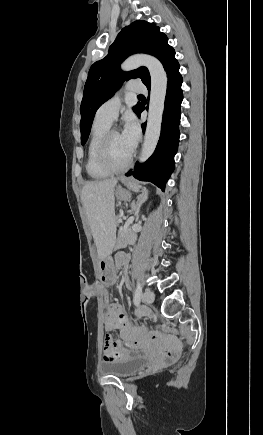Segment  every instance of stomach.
<instances>
[{
	"mask_svg": "<svg viewBox=\"0 0 263 435\" xmlns=\"http://www.w3.org/2000/svg\"><path fill=\"white\" fill-rule=\"evenodd\" d=\"M121 181L127 189H133L134 191H138L140 189V186L133 184L130 179L122 178ZM126 188H123L122 186L117 187L115 195L118 200H126L130 196L129 191ZM99 268L101 271L100 279L101 282H103L104 288H111L113 296H116V293L118 292L117 281L119 276L117 269L113 268L108 256L100 260Z\"/></svg>",
	"mask_w": 263,
	"mask_h": 435,
	"instance_id": "obj_1",
	"label": "stomach"
}]
</instances>
